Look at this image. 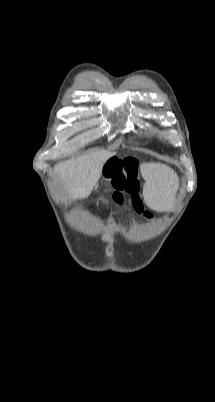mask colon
<instances>
[{"label":"colon","mask_w":215,"mask_h":402,"mask_svg":"<svg viewBox=\"0 0 215 402\" xmlns=\"http://www.w3.org/2000/svg\"><path fill=\"white\" fill-rule=\"evenodd\" d=\"M102 178L108 180L113 193L114 202L120 203L123 199V192L131 196L135 209L143 212V203L140 196V180L138 173V162L131 156H109L103 166ZM146 216H151L145 212Z\"/></svg>","instance_id":"obj_1"}]
</instances>
